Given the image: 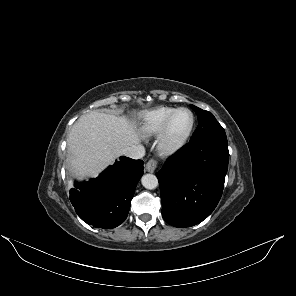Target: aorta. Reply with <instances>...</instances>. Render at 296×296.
Segmentation results:
<instances>
[{"instance_id": "1", "label": "aorta", "mask_w": 296, "mask_h": 296, "mask_svg": "<svg viewBox=\"0 0 296 296\" xmlns=\"http://www.w3.org/2000/svg\"><path fill=\"white\" fill-rule=\"evenodd\" d=\"M141 183L146 189H154L158 186V179L153 174H145L141 178Z\"/></svg>"}]
</instances>
